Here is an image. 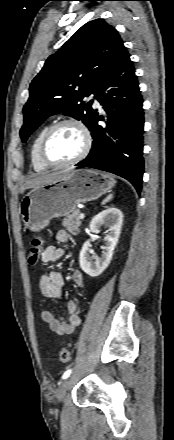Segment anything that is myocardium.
Here are the masks:
<instances>
[{"label": "myocardium", "mask_w": 174, "mask_h": 440, "mask_svg": "<svg viewBox=\"0 0 174 440\" xmlns=\"http://www.w3.org/2000/svg\"><path fill=\"white\" fill-rule=\"evenodd\" d=\"M63 125H73L75 127H77L82 136H83V146L81 151L79 152V154L74 157L73 159L64 162V163H53L52 161H50L46 155V147L48 144V141L51 137V135L53 134V132L59 128L60 126ZM92 147V135L91 132L89 130V128L87 127V125L80 119L75 118V117H67V118H63L61 120L56 121L55 123H53L48 130L45 132L41 144H40V150H39V155H40V159L41 161L48 166L49 168H64V167H68L74 164L79 163L81 160H83L88 153L90 152Z\"/></svg>", "instance_id": "myocardium-1"}]
</instances>
